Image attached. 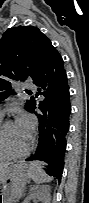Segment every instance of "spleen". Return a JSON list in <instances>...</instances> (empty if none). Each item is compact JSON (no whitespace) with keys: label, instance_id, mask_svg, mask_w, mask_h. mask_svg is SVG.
I'll return each mask as SVG.
<instances>
[{"label":"spleen","instance_id":"spleen-1","mask_svg":"<svg viewBox=\"0 0 89 203\" xmlns=\"http://www.w3.org/2000/svg\"><path fill=\"white\" fill-rule=\"evenodd\" d=\"M41 165V163H35L30 166L27 170L28 177L31 178L36 184L51 182L53 178L44 172Z\"/></svg>","mask_w":89,"mask_h":203}]
</instances>
